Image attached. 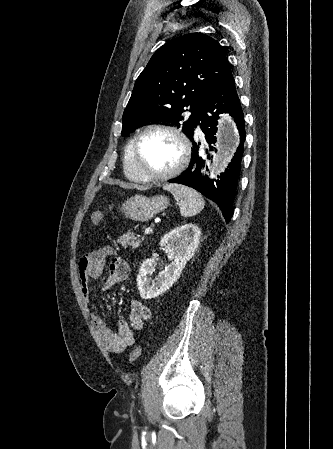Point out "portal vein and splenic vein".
Wrapping results in <instances>:
<instances>
[{
  "label": "portal vein and splenic vein",
  "mask_w": 333,
  "mask_h": 449,
  "mask_svg": "<svg viewBox=\"0 0 333 449\" xmlns=\"http://www.w3.org/2000/svg\"><path fill=\"white\" fill-rule=\"evenodd\" d=\"M152 231H153L152 228L148 227V228L145 229L144 234H146V235L150 234V233H152Z\"/></svg>",
  "instance_id": "1"
}]
</instances>
